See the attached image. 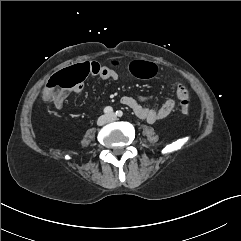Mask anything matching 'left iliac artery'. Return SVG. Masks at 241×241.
Here are the masks:
<instances>
[{
    "mask_svg": "<svg viewBox=\"0 0 241 241\" xmlns=\"http://www.w3.org/2000/svg\"><path fill=\"white\" fill-rule=\"evenodd\" d=\"M116 115H117L118 117H122L123 112H122L121 110H118V111H116Z\"/></svg>",
    "mask_w": 241,
    "mask_h": 241,
    "instance_id": "1",
    "label": "left iliac artery"
}]
</instances>
